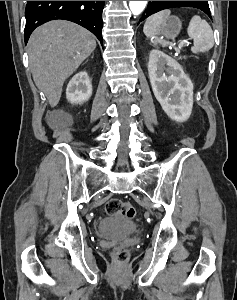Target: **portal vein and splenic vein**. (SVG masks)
Here are the masks:
<instances>
[{"instance_id":"portal-vein-and-splenic-vein-1","label":"portal vein and splenic vein","mask_w":237,"mask_h":300,"mask_svg":"<svg viewBox=\"0 0 237 300\" xmlns=\"http://www.w3.org/2000/svg\"><path fill=\"white\" fill-rule=\"evenodd\" d=\"M184 43H187V45H191V43H188V41H182V43H180V48H183Z\"/></svg>"}]
</instances>
